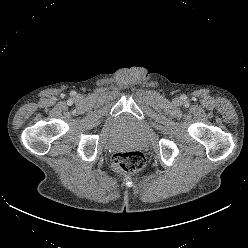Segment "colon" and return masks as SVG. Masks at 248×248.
Returning <instances> with one entry per match:
<instances>
[{
	"instance_id": "colon-1",
	"label": "colon",
	"mask_w": 248,
	"mask_h": 248,
	"mask_svg": "<svg viewBox=\"0 0 248 248\" xmlns=\"http://www.w3.org/2000/svg\"><path fill=\"white\" fill-rule=\"evenodd\" d=\"M112 166L119 173H134L145 166V156L136 150L119 151L112 157Z\"/></svg>"
}]
</instances>
